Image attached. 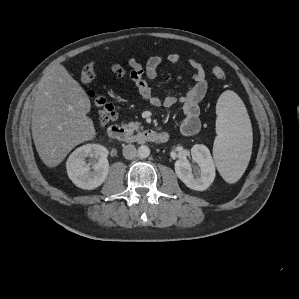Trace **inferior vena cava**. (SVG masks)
Returning <instances> with one entry per match:
<instances>
[{
    "mask_svg": "<svg viewBox=\"0 0 299 299\" xmlns=\"http://www.w3.org/2000/svg\"><path fill=\"white\" fill-rule=\"evenodd\" d=\"M137 155V150L134 145L129 144L123 147V156L126 159H134Z\"/></svg>",
    "mask_w": 299,
    "mask_h": 299,
    "instance_id": "602c4592",
    "label": "inferior vena cava"
}]
</instances>
